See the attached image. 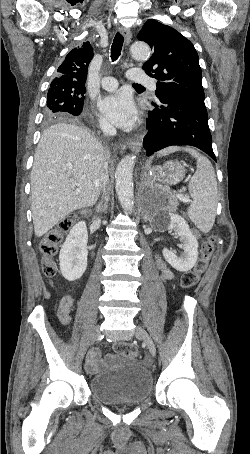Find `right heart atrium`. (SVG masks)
<instances>
[{"label":"right heart atrium","mask_w":250,"mask_h":454,"mask_svg":"<svg viewBox=\"0 0 250 454\" xmlns=\"http://www.w3.org/2000/svg\"><path fill=\"white\" fill-rule=\"evenodd\" d=\"M98 122H99V125L103 128V129H108L109 128V125L107 123V121L101 117H98Z\"/></svg>","instance_id":"obj_1"}]
</instances>
